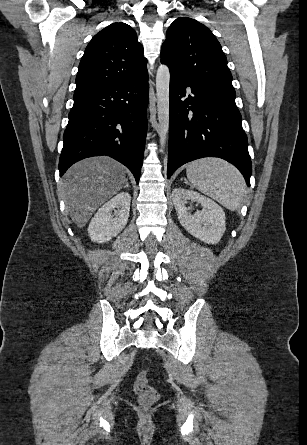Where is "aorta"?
Returning <instances> with one entry per match:
<instances>
[{"label": "aorta", "mask_w": 307, "mask_h": 445, "mask_svg": "<svg viewBox=\"0 0 307 445\" xmlns=\"http://www.w3.org/2000/svg\"><path fill=\"white\" fill-rule=\"evenodd\" d=\"M169 82L170 70L166 64H160L156 74L157 110L159 120L160 150H163L169 128Z\"/></svg>", "instance_id": "762f6f07"}]
</instances>
